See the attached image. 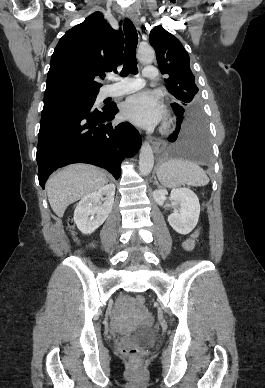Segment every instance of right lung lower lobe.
Listing matches in <instances>:
<instances>
[{"instance_id":"obj_1","label":"right lung lower lobe","mask_w":265,"mask_h":388,"mask_svg":"<svg viewBox=\"0 0 265 388\" xmlns=\"http://www.w3.org/2000/svg\"><path fill=\"white\" fill-rule=\"evenodd\" d=\"M115 103L101 110L69 108L41 116L37 146L39 184L72 163H89L107 169L118 179L125 156L139 150L141 137L129 123L112 124L118 113Z\"/></svg>"}]
</instances>
